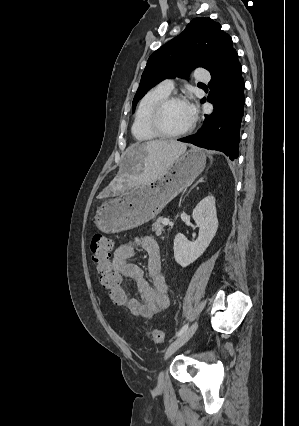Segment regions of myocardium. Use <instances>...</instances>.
<instances>
[{"label":"myocardium","instance_id":"1","mask_svg":"<svg viewBox=\"0 0 299 426\" xmlns=\"http://www.w3.org/2000/svg\"><path fill=\"white\" fill-rule=\"evenodd\" d=\"M173 102L187 103L186 99L180 95H168L162 100H160L151 112L149 119L150 127L159 137L178 138L186 135L193 129L194 121L191 120L190 124L187 127L178 132H170L166 130L163 124V115L167 107Z\"/></svg>","mask_w":299,"mask_h":426}]
</instances>
